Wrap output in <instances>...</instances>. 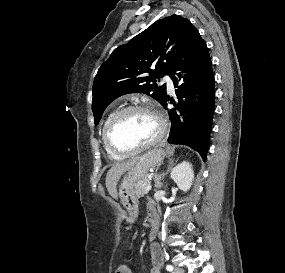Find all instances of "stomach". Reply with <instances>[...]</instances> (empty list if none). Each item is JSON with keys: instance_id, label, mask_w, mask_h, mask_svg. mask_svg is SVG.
Listing matches in <instances>:
<instances>
[{"instance_id": "obj_1", "label": "stomach", "mask_w": 285, "mask_h": 273, "mask_svg": "<svg viewBox=\"0 0 285 273\" xmlns=\"http://www.w3.org/2000/svg\"><path fill=\"white\" fill-rule=\"evenodd\" d=\"M165 154L161 148L146 152L123 176L117 194L123 207L128 211L129 217L127 219L129 221L135 217L137 211L136 184L147 176L150 168L163 160Z\"/></svg>"}]
</instances>
